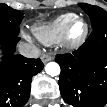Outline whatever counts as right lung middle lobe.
<instances>
[{
    "instance_id": "right-lung-middle-lobe-1",
    "label": "right lung middle lobe",
    "mask_w": 107,
    "mask_h": 107,
    "mask_svg": "<svg viewBox=\"0 0 107 107\" xmlns=\"http://www.w3.org/2000/svg\"><path fill=\"white\" fill-rule=\"evenodd\" d=\"M23 14L6 4H0V35L17 36Z\"/></svg>"
}]
</instances>
